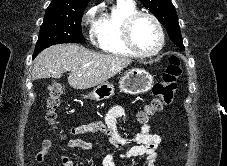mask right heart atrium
<instances>
[{"instance_id": "right-heart-atrium-1", "label": "right heart atrium", "mask_w": 227, "mask_h": 166, "mask_svg": "<svg viewBox=\"0 0 227 166\" xmlns=\"http://www.w3.org/2000/svg\"><path fill=\"white\" fill-rule=\"evenodd\" d=\"M96 10H97L96 7L90 8L85 15V19L91 21L96 14Z\"/></svg>"}]
</instances>
